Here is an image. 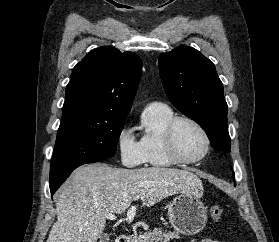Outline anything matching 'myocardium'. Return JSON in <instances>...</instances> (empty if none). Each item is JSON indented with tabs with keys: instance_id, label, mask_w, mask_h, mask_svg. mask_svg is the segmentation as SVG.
<instances>
[{
	"instance_id": "1",
	"label": "myocardium",
	"mask_w": 279,
	"mask_h": 242,
	"mask_svg": "<svg viewBox=\"0 0 279 242\" xmlns=\"http://www.w3.org/2000/svg\"><path fill=\"white\" fill-rule=\"evenodd\" d=\"M180 122H187L192 124L202 134L205 141V149L202 155H200L199 157L194 159H187L180 154L175 141V130L177 128V125ZM163 138H164V145L168 155L178 164H184V165L196 164L202 161L203 159H205V157L208 155L211 148V140L206 129L197 120L188 116H174L166 125Z\"/></svg>"
}]
</instances>
